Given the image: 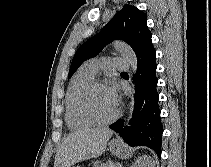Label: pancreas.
<instances>
[{
  "label": "pancreas",
  "instance_id": "cf45deb5",
  "mask_svg": "<svg viewBox=\"0 0 211 167\" xmlns=\"http://www.w3.org/2000/svg\"><path fill=\"white\" fill-rule=\"evenodd\" d=\"M119 166L120 164L109 161L106 163L97 164L94 167H119Z\"/></svg>",
  "mask_w": 211,
  "mask_h": 167
}]
</instances>
